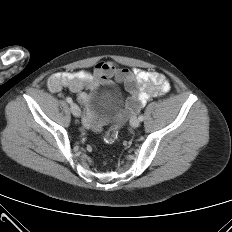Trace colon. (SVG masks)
Returning <instances> with one entry per match:
<instances>
[{"label": "colon", "instance_id": "1", "mask_svg": "<svg viewBox=\"0 0 232 232\" xmlns=\"http://www.w3.org/2000/svg\"><path fill=\"white\" fill-rule=\"evenodd\" d=\"M119 125L113 126L111 128H109L105 135H104V141L107 144H112L118 137V132H119Z\"/></svg>", "mask_w": 232, "mask_h": 232}]
</instances>
